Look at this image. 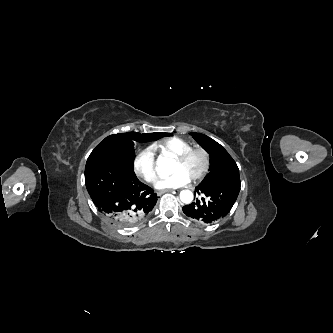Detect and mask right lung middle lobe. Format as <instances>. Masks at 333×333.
Wrapping results in <instances>:
<instances>
[{
  "instance_id": "right-lung-middle-lobe-1",
  "label": "right lung middle lobe",
  "mask_w": 333,
  "mask_h": 333,
  "mask_svg": "<svg viewBox=\"0 0 333 333\" xmlns=\"http://www.w3.org/2000/svg\"><path fill=\"white\" fill-rule=\"evenodd\" d=\"M163 135L172 134L157 133L153 137L139 135L134 132L110 135L94 148L88 157L86 165L92 162H106L124 167L134 172V141L158 139V137Z\"/></svg>"
}]
</instances>
